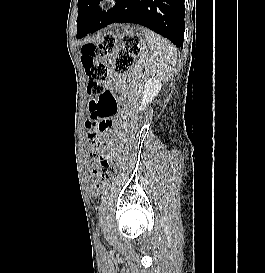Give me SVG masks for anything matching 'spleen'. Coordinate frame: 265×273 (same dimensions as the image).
<instances>
[{"label": "spleen", "mask_w": 265, "mask_h": 273, "mask_svg": "<svg viewBox=\"0 0 265 273\" xmlns=\"http://www.w3.org/2000/svg\"><path fill=\"white\" fill-rule=\"evenodd\" d=\"M148 48L152 53V59H155L152 70L161 80H166L170 76L172 69L177 61L176 50L166 39L150 31L143 29Z\"/></svg>", "instance_id": "1"}]
</instances>
